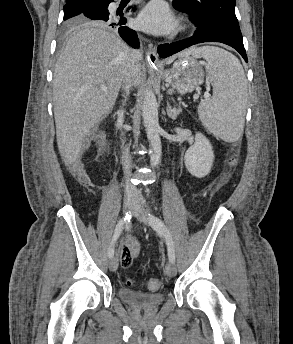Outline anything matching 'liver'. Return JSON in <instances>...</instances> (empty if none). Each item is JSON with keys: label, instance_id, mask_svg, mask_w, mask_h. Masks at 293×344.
I'll return each mask as SVG.
<instances>
[{"label": "liver", "instance_id": "6515ba94", "mask_svg": "<svg viewBox=\"0 0 293 344\" xmlns=\"http://www.w3.org/2000/svg\"><path fill=\"white\" fill-rule=\"evenodd\" d=\"M130 53L118 36L101 27H85L66 43L54 69L53 104L58 150L67 166L78 162L91 130L113 109L131 67ZM142 77L140 66L133 85Z\"/></svg>", "mask_w": 293, "mask_h": 344}]
</instances>
